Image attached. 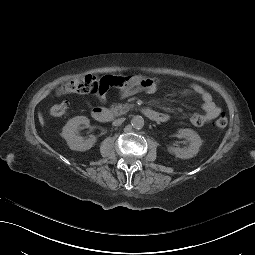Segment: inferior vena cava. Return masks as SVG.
Here are the masks:
<instances>
[{
  "label": "inferior vena cava",
  "instance_id": "obj_1",
  "mask_svg": "<svg viewBox=\"0 0 255 255\" xmlns=\"http://www.w3.org/2000/svg\"><path fill=\"white\" fill-rule=\"evenodd\" d=\"M124 118H121V119H117V120H114L113 121V126H118V125H121L123 122H124Z\"/></svg>",
  "mask_w": 255,
  "mask_h": 255
}]
</instances>
